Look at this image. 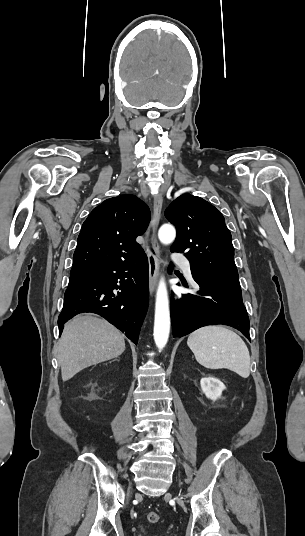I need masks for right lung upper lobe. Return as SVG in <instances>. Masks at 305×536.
I'll list each match as a JSON object with an SVG mask.
<instances>
[{"label": "right lung upper lobe", "mask_w": 305, "mask_h": 536, "mask_svg": "<svg viewBox=\"0 0 305 536\" xmlns=\"http://www.w3.org/2000/svg\"><path fill=\"white\" fill-rule=\"evenodd\" d=\"M150 221L147 205L134 195L105 200L82 225L70 275L95 270L138 257L136 242Z\"/></svg>", "instance_id": "right-lung-upper-lobe-1"}]
</instances>
